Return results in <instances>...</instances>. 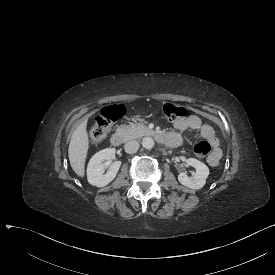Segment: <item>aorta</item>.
<instances>
[{
  "label": "aorta",
  "mask_w": 275,
  "mask_h": 275,
  "mask_svg": "<svg viewBox=\"0 0 275 275\" xmlns=\"http://www.w3.org/2000/svg\"><path fill=\"white\" fill-rule=\"evenodd\" d=\"M142 146L146 149H151L154 146V140L151 137H144Z\"/></svg>",
  "instance_id": "1"
}]
</instances>
